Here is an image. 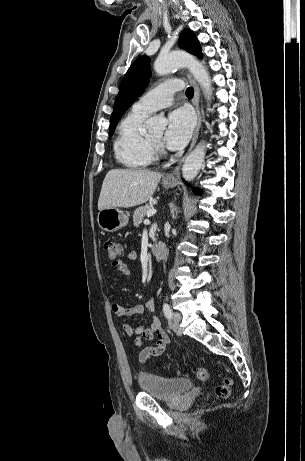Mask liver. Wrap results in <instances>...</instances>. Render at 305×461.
Here are the masks:
<instances>
[{
	"instance_id": "liver-1",
	"label": "liver",
	"mask_w": 305,
	"mask_h": 461,
	"mask_svg": "<svg viewBox=\"0 0 305 461\" xmlns=\"http://www.w3.org/2000/svg\"><path fill=\"white\" fill-rule=\"evenodd\" d=\"M161 174L149 170L112 169L106 174L98 210L129 208L147 202L155 192Z\"/></svg>"
}]
</instances>
